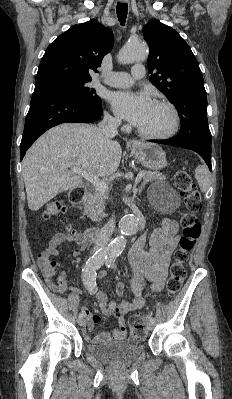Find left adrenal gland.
Masks as SVG:
<instances>
[{
	"mask_svg": "<svg viewBox=\"0 0 232 399\" xmlns=\"http://www.w3.org/2000/svg\"><path fill=\"white\" fill-rule=\"evenodd\" d=\"M143 188H144V186H142V184H141V186H140V188H139V194H142Z\"/></svg>",
	"mask_w": 232,
	"mask_h": 399,
	"instance_id": "a2214340",
	"label": "left adrenal gland"
}]
</instances>
